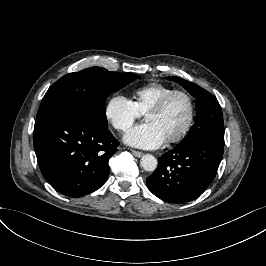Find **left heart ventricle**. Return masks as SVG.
<instances>
[{
    "label": "left heart ventricle",
    "mask_w": 266,
    "mask_h": 266,
    "mask_svg": "<svg viewBox=\"0 0 266 266\" xmlns=\"http://www.w3.org/2000/svg\"><path fill=\"white\" fill-rule=\"evenodd\" d=\"M190 107L185 97L175 96L162 112H149L145 115L146 122L154 123L165 138L175 137L187 122Z\"/></svg>",
    "instance_id": "left-heart-ventricle-1"
}]
</instances>
